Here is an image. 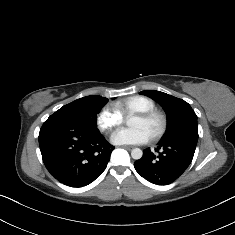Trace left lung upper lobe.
Here are the masks:
<instances>
[{
  "mask_svg": "<svg viewBox=\"0 0 235 235\" xmlns=\"http://www.w3.org/2000/svg\"><path fill=\"white\" fill-rule=\"evenodd\" d=\"M140 94L158 102L167 114V128L161 141H186L197 144V115L186 101L155 90H145Z\"/></svg>",
  "mask_w": 235,
  "mask_h": 235,
  "instance_id": "left-lung-upper-lobe-1",
  "label": "left lung upper lobe"
}]
</instances>
